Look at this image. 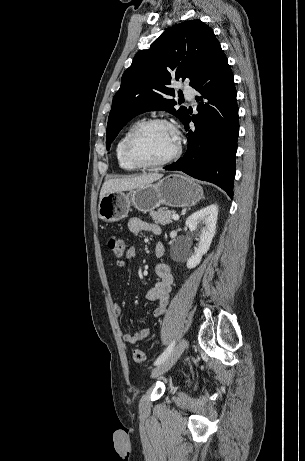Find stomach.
<instances>
[{"mask_svg":"<svg viewBox=\"0 0 305 461\" xmlns=\"http://www.w3.org/2000/svg\"><path fill=\"white\" fill-rule=\"evenodd\" d=\"M202 197L203 189L193 179L183 174H171L130 192L116 191L104 195L98 205V215L106 222H115L125 218L131 206L145 213L160 205L194 206Z\"/></svg>","mask_w":305,"mask_h":461,"instance_id":"stomach-1","label":"stomach"}]
</instances>
